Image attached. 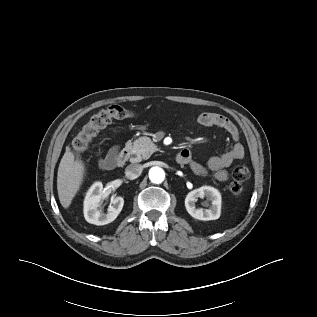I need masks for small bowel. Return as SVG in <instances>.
Returning a JSON list of instances; mask_svg holds the SVG:
<instances>
[{
    "label": "small bowel",
    "mask_w": 317,
    "mask_h": 317,
    "mask_svg": "<svg viewBox=\"0 0 317 317\" xmlns=\"http://www.w3.org/2000/svg\"><path fill=\"white\" fill-rule=\"evenodd\" d=\"M197 121L202 126H216L224 129L235 141V144L225 153L209 158L205 165L193 160L191 153L185 149L188 151L189 156L182 164L189 165L193 172L197 175H206L208 172H210L216 180L226 181L228 179V168L234 161L241 160L245 156V149L239 142V130L233 121L219 113L203 112L199 114ZM115 153L116 148H112L106 157L99 160V165L102 168H105L107 160L112 159L115 156Z\"/></svg>",
    "instance_id": "small-bowel-1"
}]
</instances>
